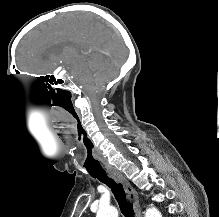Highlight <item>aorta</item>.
Segmentation results:
<instances>
[{"instance_id": "762f6f07", "label": "aorta", "mask_w": 219, "mask_h": 217, "mask_svg": "<svg viewBox=\"0 0 219 217\" xmlns=\"http://www.w3.org/2000/svg\"><path fill=\"white\" fill-rule=\"evenodd\" d=\"M96 217H118V211L114 207H103L98 210ZM145 217H162V215L155 207H151L146 210Z\"/></svg>"}]
</instances>
